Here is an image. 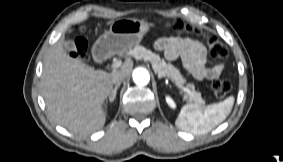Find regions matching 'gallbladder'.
Here are the masks:
<instances>
[{
  "mask_svg": "<svg viewBox=\"0 0 283 162\" xmlns=\"http://www.w3.org/2000/svg\"><path fill=\"white\" fill-rule=\"evenodd\" d=\"M64 48L68 51V52H72L75 51V43L73 40H66L64 42Z\"/></svg>",
  "mask_w": 283,
  "mask_h": 162,
  "instance_id": "gallbladder-1",
  "label": "gallbladder"
}]
</instances>
